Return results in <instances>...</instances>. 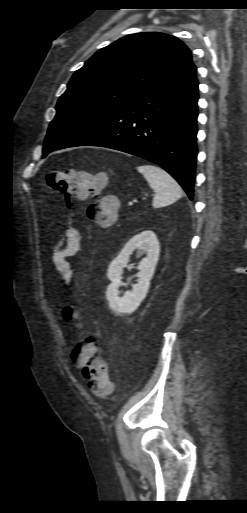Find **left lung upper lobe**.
<instances>
[{"label": "left lung upper lobe", "mask_w": 247, "mask_h": 513, "mask_svg": "<svg viewBox=\"0 0 247 513\" xmlns=\"http://www.w3.org/2000/svg\"><path fill=\"white\" fill-rule=\"evenodd\" d=\"M192 62L187 46L158 32L125 36L96 52L58 100L43 157L97 121L180 73Z\"/></svg>", "instance_id": "obj_1"}]
</instances>
